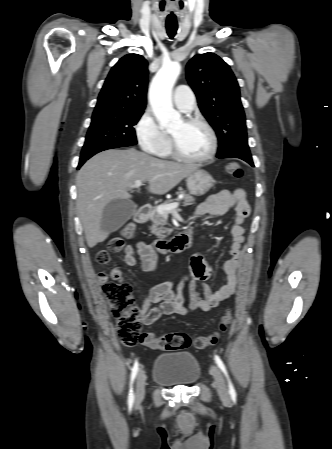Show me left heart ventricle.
<instances>
[{"label":"left heart ventricle","instance_id":"1","mask_svg":"<svg viewBox=\"0 0 332 449\" xmlns=\"http://www.w3.org/2000/svg\"><path fill=\"white\" fill-rule=\"evenodd\" d=\"M169 133L174 138L178 148L188 156L200 157L209 151V135L198 124H186L180 120Z\"/></svg>","mask_w":332,"mask_h":449}]
</instances>
